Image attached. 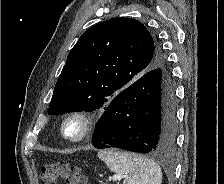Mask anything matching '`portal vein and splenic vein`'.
Masks as SVG:
<instances>
[{
    "instance_id": "obj_1",
    "label": "portal vein and splenic vein",
    "mask_w": 224,
    "mask_h": 184,
    "mask_svg": "<svg viewBox=\"0 0 224 184\" xmlns=\"http://www.w3.org/2000/svg\"><path fill=\"white\" fill-rule=\"evenodd\" d=\"M122 178H123V176H121V175H114L112 177L113 181H120Z\"/></svg>"
}]
</instances>
